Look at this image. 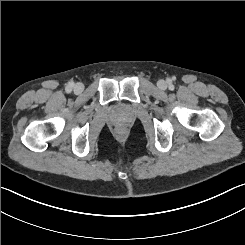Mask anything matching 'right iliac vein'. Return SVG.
Wrapping results in <instances>:
<instances>
[{"label": "right iliac vein", "mask_w": 245, "mask_h": 245, "mask_svg": "<svg viewBox=\"0 0 245 245\" xmlns=\"http://www.w3.org/2000/svg\"><path fill=\"white\" fill-rule=\"evenodd\" d=\"M84 89V85L82 83H77L74 88L73 91L75 94H80Z\"/></svg>", "instance_id": "63e3f726"}]
</instances>
